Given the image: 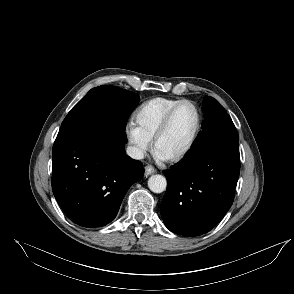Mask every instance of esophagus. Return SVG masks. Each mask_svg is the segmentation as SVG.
I'll list each match as a JSON object with an SVG mask.
<instances>
[{
	"label": "esophagus",
	"mask_w": 294,
	"mask_h": 294,
	"mask_svg": "<svg viewBox=\"0 0 294 294\" xmlns=\"http://www.w3.org/2000/svg\"><path fill=\"white\" fill-rule=\"evenodd\" d=\"M156 173V169H154L152 166L147 165L145 166V176L148 177L152 174Z\"/></svg>",
	"instance_id": "obj_1"
}]
</instances>
